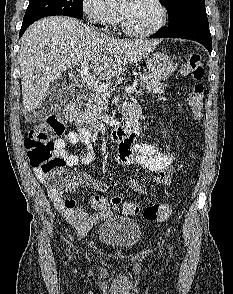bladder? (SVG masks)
<instances>
[{
  "label": "bladder",
  "instance_id": "31cf9c89",
  "mask_svg": "<svg viewBox=\"0 0 233 294\" xmlns=\"http://www.w3.org/2000/svg\"><path fill=\"white\" fill-rule=\"evenodd\" d=\"M101 243L119 249L135 247L142 237L138 222L126 216H113L104 221L97 231Z\"/></svg>",
  "mask_w": 233,
  "mask_h": 294
}]
</instances>
